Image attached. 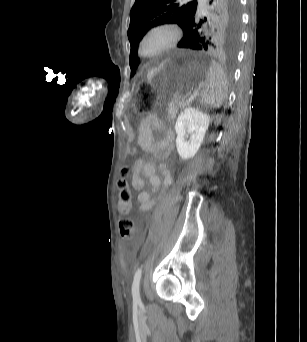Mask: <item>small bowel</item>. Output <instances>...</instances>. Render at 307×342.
<instances>
[{"label": "small bowel", "instance_id": "obj_1", "mask_svg": "<svg viewBox=\"0 0 307 342\" xmlns=\"http://www.w3.org/2000/svg\"><path fill=\"white\" fill-rule=\"evenodd\" d=\"M163 134L160 140H156L154 133ZM138 144L146 153L152 155L155 159L163 161L166 159L174 145V132L167 129L162 120L153 114L146 115L139 124L138 128ZM160 170L163 180L156 174V166L154 162L144 158L138 159L131 173V185L138 191L137 200L140 204V210L147 212L155 205L152 197L162 185L167 186L171 183V174L165 164H160ZM146 177L150 181V191L144 190V179Z\"/></svg>", "mask_w": 307, "mask_h": 342}]
</instances>
